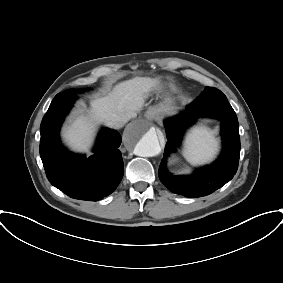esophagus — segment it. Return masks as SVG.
Segmentation results:
<instances>
[{
    "instance_id": "1",
    "label": "esophagus",
    "mask_w": 283,
    "mask_h": 283,
    "mask_svg": "<svg viewBox=\"0 0 283 283\" xmlns=\"http://www.w3.org/2000/svg\"><path fill=\"white\" fill-rule=\"evenodd\" d=\"M145 116L150 119V120H153L155 118V112L151 111V110H148L145 114Z\"/></svg>"
}]
</instances>
